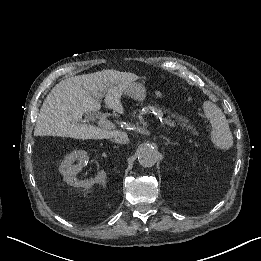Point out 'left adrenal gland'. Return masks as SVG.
<instances>
[{
    "mask_svg": "<svg viewBox=\"0 0 261 261\" xmlns=\"http://www.w3.org/2000/svg\"><path fill=\"white\" fill-rule=\"evenodd\" d=\"M161 138H163L165 141H167L166 145H175L174 143H172L168 138L164 137L163 135H161Z\"/></svg>",
    "mask_w": 261,
    "mask_h": 261,
    "instance_id": "a2214340",
    "label": "left adrenal gland"
}]
</instances>
